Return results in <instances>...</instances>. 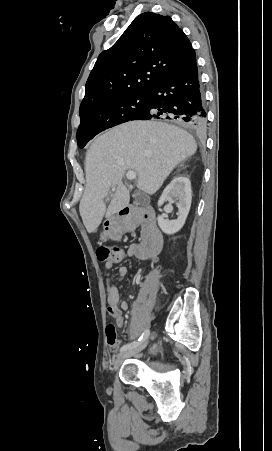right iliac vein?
Wrapping results in <instances>:
<instances>
[{"mask_svg": "<svg viewBox=\"0 0 272 451\" xmlns=\"http://www.w3.org/2000/svg\"><path fill=\"white\" fill-rule=\"evenodd\" d=\"M148 340L145 339L141 344H139L137 347L128 349L124 352H122L116 359V362L114 364V370H117L118 367H120V365L124 362V360L126 358H129L131 356L136 355L137 353H139L141 350H143L146 346H147Z\"/></svg>", "mask_w": 272, "mask_h": 451, "instance_id": "63e3f726", "label": "right iliac vein"}]
</instances>
